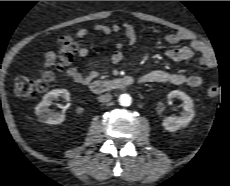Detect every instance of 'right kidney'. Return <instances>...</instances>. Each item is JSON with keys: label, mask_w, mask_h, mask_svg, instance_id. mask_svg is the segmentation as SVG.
Returning a JSON list of instances; mask_svg holds the SVG:
<instances>
[{"label": "right kidney", "mask_w": 230, "mask_h": 186, "mask_svg": "<svg viewBox=\"0 0 230 186\" xmlns=\"http://www.w3.org/2000/svg\"><path fill=\"white\" fill-rule=\"evenodd\" d=\"M59 97L69 100L70 93L66 89L52 90L45 94L43 100L36 106L35 113L41 122L50 125H57L61 124L65 120L64 114L54 113L49 109L52 101L57 100Z\"/></svg>", "instance_id": "right-kidney-1"}]
</instances>
